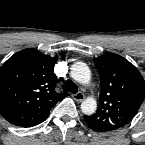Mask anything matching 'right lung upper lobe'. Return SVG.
<instances>
[{
  "label": "right lung upper lobe",
  "mask_w": 145,
  "mask_h": 145,
  "mask_svg": "<svg viewBox=\"0 0 145 145\" xmlns=\"http://www.w3.org/2000/svg\"><path fill=\"white\" fill-rule=\"evenodd\" d=\"M58 57L24 49L0 68V114L11 124L28 127L46 119L68 93L55 90Z\"/></svg>",
  "instance_id": "obj_1"
}]
</instances>
